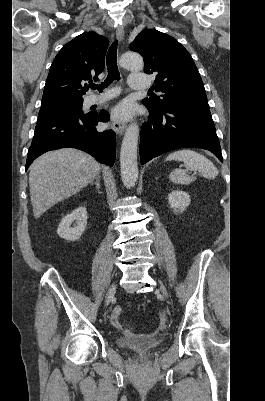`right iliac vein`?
Wrapping results in <instances>:
<instances>
[{"label": "right iliac vein", "mask_w": 265, "mask_h": 401, "mask_svg": "<svg viewBox=\"0 0 265 401\" xmlns=\"http://www.w3.org/2000/svg\"><path fill=\"white\" fill-rule=\"evenodd\" d=\"M115 292H116V283H112L106 294L105 306H107L110 303Z\"/></svg>", "instance_id": "63e3f726"}]
</instances>
